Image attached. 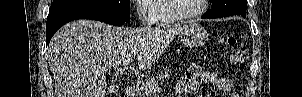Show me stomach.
I'll return each instance as SVG.
<instances>
[{
  "label": "stomach",
  "mask_w": 302,
  "mask_h": 97,
  "mask_svg": "<svg viewBox=\"0 0 302 97\" xmlns=\"http://www.w3.org/2000/svg\"><path fill=\"white\" fill-rule=\"evenodd\" d=\"M180 36L183 44L189 47H200L208 38L207 31L196 23L186 25Z\"/></svg>",
  "instance_id": "stomach-1"
}]
</instances>
